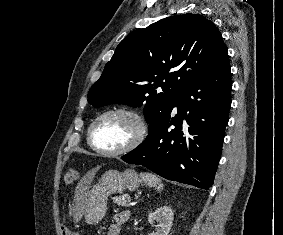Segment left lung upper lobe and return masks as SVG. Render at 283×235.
Segmentation results:
<instances>
[{"label":"left lung upper lobe","instance_id":"left-lung-upper-lobe-1","mask_svg":"<svg viewBox=\"0 0 283 235\" xmlns=\"http://www.w3.org/2000/svg\"><path fill=\"white\" fill-rule=\"evenodd\" d=\"M228 61L220 31L204 16L164 18L126 36L88 93L93 107L144 106L153 130L171 111L182 88Z\"/></svg>","mask_w":283,"mask_h":235}]
</instances>
